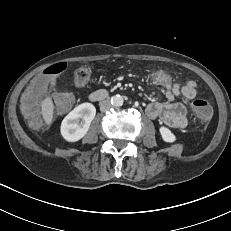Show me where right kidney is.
Masks as SVG:
<instances>
[{"label":"right kidney","instance_id":"right-kidney-1","mask_svg":"<svg viewBox=\"0 0 231 231\" xmlns=\"http://www.w3.org/2000/svg\"><path fill=\"white\" fill-rule=\"evenodd\" d=\"M96 115V108L91 103H82L74 108L61 123V135L68 142L83 138Z\"/></svg>","mask_w":231,"mask_h":231}]
</instances>
